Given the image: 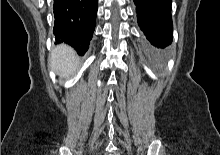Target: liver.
Returning <instances> with one entry per match:
<instances>
[{"label": "liver", "mask_w": 220, "mask_h": 155, "mask_svg": "<svg viewBox=\"0 0 220 155\" xmlns=\"http://www.w3.org/2000/svg\"><path fill=\"white\" fill-rule=\"evenodd\" d=\"M50 65L62 78H69L78 69L79 62L75 51L65 45H58L50 55Z\"/></svg>", "instance_id": "obj_1"}]
</instances>
